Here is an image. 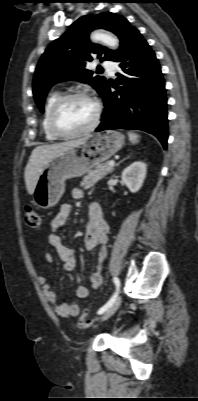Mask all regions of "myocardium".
I'll return each instance as SVG.
<instances>
[{"label": "myocardium", "mask_w": 198, "mask_h": 401, "mask_svg": "<svg viewBox=\"0 0 198 401\" xmlns=\"http://www.w3.org/2000/svg\"><path fill=\"white\" fill-rule=\"evenodd\" d=\"M78 98L87 99L94 104V106H95L94 119H93L92 123L83 130H80L77 132L62 131L57 125V120H56L57 115L65 103H67L70 100L78 99ZM101 114H102L101 104L95 97H93L92 95H90L86 92H72V93H68V94L60 96L55 101V103L53 104V106L51 107V110L49 112L48 126H49V129L52 132V134L55 135L57 138H62V139L76 138V137L86 135V134L92 132L93 130H95L96 127L100 123Z\"/></svg>", "instance_id": "obj_1"}]
</instances>
